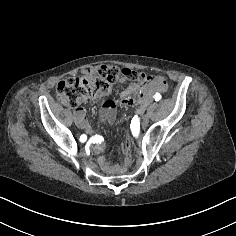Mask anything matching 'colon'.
<instances>
[{
  "mask_svg": "<svg viewBox=\"0 0 236 236\" xmlns=\"http://www.w3.org/2000/svg\"><path fill=\"white\" fill-rule=\"evenodd\" d=\"M121 76L134 81H151L156 77L141 75L130 69H119L109 65L88 66L78 77H69L61 80L56 87V97L69 108L77 107L82 101L107 95L114 82ZM165 84V81L156 78ZM123 152L126 163L131 162V141L127 136L123 141Z\"/></svg>",
  "mask_w": 236,
  "mask_h": 236,
  "instance_id": "5ec220e1",
  "label": "colon"
}]
</instances>
